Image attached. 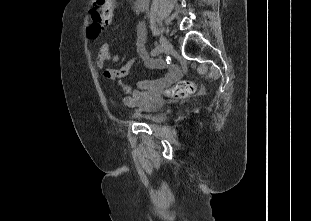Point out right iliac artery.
Returning a JSON list of instances; mask_svg holds the SVG:
<instances>
[{"instance_id": "obj_1", "label": "right iliac artery", "mask_w": 311, "mask_h": 221, "mask_svg": "<svg viewBox=\"0 0 311 221\" xmlns=\"http://www.w3.org/2000/svg\"><path fill=\"white\" fill-rule=\"evenodd\" d=\"M161 51H162L161 46H157L151 51V56H157L161 53Z\"/></svg>"}]
</instances>
